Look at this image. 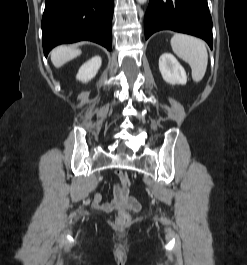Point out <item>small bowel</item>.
<instances>
[{
    "label": "small bowel",
    "instance_id": "small-bowel-1",
    "mask_svg": "<svg viewBox=\"0 0 247 265\" xmlns=\"http://www.w3.org/2000/svg\"><path fill=\"white\" fill-rule=\"evenodd\" d=\"M93 205L102 212H112L117 209L129 210L132 212L140 211L139 202L125 192L120 186L114 188V198L110 202H103L100 193H96L93 198Z\"/></svg>",
    "mask_w": 247,
    "mask_h": 265
}]
</instances>
